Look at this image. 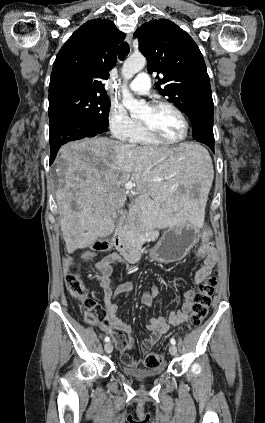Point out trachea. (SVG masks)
I'll list each match as a JSON object with an SVG mask.
<instances>
[{"mask_svg":"<svg viewBox=\"0 0 265 423\" xmlns=\"http://www.w3.org/2000/svg\"><path fill=\"white\" fill-rule=\"evenodd\" d=\"M130 51V47L127 42H123L118 48V57L120 60H123Z\"/></svg>","mask_w":265,"mask_h":423,"instance_id":"obj_1","label":"trachea"}]
</instances>
